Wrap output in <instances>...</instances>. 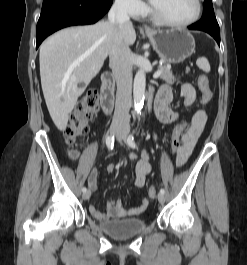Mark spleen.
Masks as SVG:
<instances>
[{
    "instance_id": "3e777b00",
    "label": "spleen",
    "mask_w": 247,
    "mask_h": 265,
    "mask_svg": "<svg viewBox=\"0 0 247 265\" xmlns=\"http://www.w3.org/2000/svg\"><path fill=\"white\" fill-rule=\"evenodd\" d=\"M197 66L202 69L205 72H209L210 71V64L208 62V60L205 57H200L197 60Z\"/></svg>"
}]
</instances>
